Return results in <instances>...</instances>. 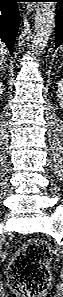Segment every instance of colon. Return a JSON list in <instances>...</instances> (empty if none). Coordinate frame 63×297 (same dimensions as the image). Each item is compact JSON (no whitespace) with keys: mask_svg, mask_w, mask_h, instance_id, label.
<instances>
[{"mask_svg":"<svg viewBox=\"0 0 63 297\" xmlns=\"http://www.w3.org/2000/svg\"><path fill=\"white\" fill-rule=\"evenodd\" d=\"M48 245L39 239L27 240L16 252L9 270V284L22 297H41L50 283Z\"/></svg>","mask_w":63,"mask_h":297,"instance_id":"obj_1","label":"colon"}]
</instances>
